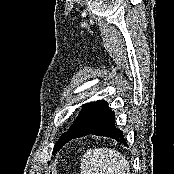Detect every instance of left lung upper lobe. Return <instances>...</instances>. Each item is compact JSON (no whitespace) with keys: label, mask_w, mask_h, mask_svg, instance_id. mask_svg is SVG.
<instances>
[{"label":"left lung upper lobe","mask_w":175,"mask_h":174,"mask_svg":"<svg viewBox=\"0 0 175 174\" xmlns=\"http://www.w3.org/2000/svg\"><path fill=\"white\" fill-rule=\"evenodd\" d=\"M63 136L64 134L59 138L58 142L55 144L53 153L57 152L59 149L63 147Z\"/></svg>","instance_id":"obj_1"}]
</instances>
